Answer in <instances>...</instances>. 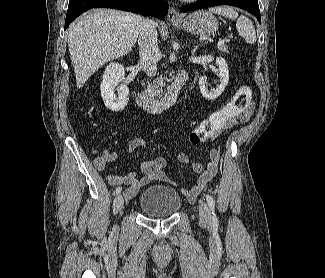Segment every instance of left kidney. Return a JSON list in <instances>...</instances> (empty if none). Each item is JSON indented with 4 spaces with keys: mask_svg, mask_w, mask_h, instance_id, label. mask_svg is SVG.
Returning <instances> with one entry per match:
<instances>
[{
    "mask_svg": "<svg viewBox=\"0 0 325 278\" xmlns=\"http://www.w3.org/2000/svg\"><path fill=\"white\" fill-rule=\"evenodd\" d=\"M216 65L218 66V72L220 75V84L216 89L211 91L207 89L205 76H202L199 79L200 92L203 97L208 100H215L219 95H221L229 81V70L225 59L217 58Z\"/></svg>",
    "mask_w": 325,
    "mask_h": 278,
    "instance_id": "obj_1",
    "label": "left kidney"
}]
</instances>
